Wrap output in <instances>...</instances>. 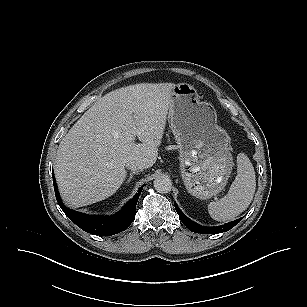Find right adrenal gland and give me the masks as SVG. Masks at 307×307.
Returning a JSON list of instances; mask_svg holds the SVG:
<instances>
[{
    "instance_id": "obj_1",
    "label": "right adrenal gland",
    "mask_w": 307,
    "mask_h": 307,
    "mask_svg": "<svg viewBox=\"0 0 307 307\" xmlns=\"http://www.w3.org/2000/svg\"><path fill=\"white\" fill-rule=\"evenodd\" d=\"M135 173H138V172L133 171V172L130 173V176H129V178L127 179L126 183H129V182L131 181V179L133 178V175H134Z\"/></svg>"
}]
</instances>
